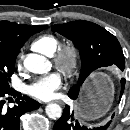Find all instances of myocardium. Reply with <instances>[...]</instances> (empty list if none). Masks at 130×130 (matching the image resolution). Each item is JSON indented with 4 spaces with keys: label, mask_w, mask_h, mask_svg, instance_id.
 <instances>
[{
    "label": "myocardium",
    "mask_w": 130,
    "mask_h": 130,
    "mask_svg": "<svg viewBox=\"0 0 130 130\" xmlns=\"http://www.w3.org/2000/svg\"><path fill=\"white\" fill-rule=\"evenodd\" d=\"M81 58L79 46L68 41L60 44L53 55L54 65L66 76H72L77 71Z\"/></svg>",
    "instance_id": "f54148a6"
}]
</instances>
